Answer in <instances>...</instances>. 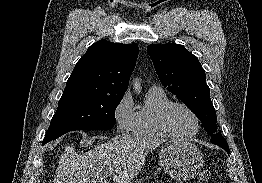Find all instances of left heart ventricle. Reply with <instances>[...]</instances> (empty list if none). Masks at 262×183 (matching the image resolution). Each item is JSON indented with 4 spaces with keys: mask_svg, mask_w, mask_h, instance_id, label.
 <instances>
[{
    "mask_svg": "<svg viewBox=\"0 0 262 183\" xmlns=\"http://www.w3.org/2000/svg\"><path fill=\"white\" fill-rule=\"evenodd\" d=\"M169 124L178 133H191L196 128L194 117L184 108L176 107L169 116Z\"/></svg>",
    "mask_w": 262,
    "mask_h": 183,
    "instance_id": "left-heart-ventricle-1",
    "label": "left heart ventricle"
}]
</instances>
